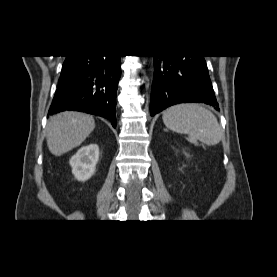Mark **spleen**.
I'll return each mask as SVG.
<instances>
[{"label":"spleen","instance_id":"3e777b00","mask_svg":"<svg viewBox=\"0 0 277 277\" xmlns=\"http://www.w3.org/2000/svg\"><path fill=\"white\" fill-rule=\"evenodd\" d=\"M162 119L167 128L188 134L191 140L216 145L222 138V131L215 115L198 104L172 106L163 113Z\"/></svg>","mask_w":277,"mask_h":277}]
</instances>
